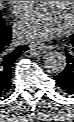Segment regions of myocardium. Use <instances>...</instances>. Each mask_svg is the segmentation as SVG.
Here are the masks:
<instances>
[{
  "mask_svg": "<svg viewBox=\"0 0 74 122\" xmlns=\"http://www.w3.org/2000/svg\"><path fill=\"white\" fill-rule=\"evenodd\" d=\"M72 14H71V22H74V1H72Z\"/></svg>",
  "mask_w": 74,
  "mask_h": 122,
  "instance_id": "f54148a6",
  "label": "myocardium"
}]
</instances>
